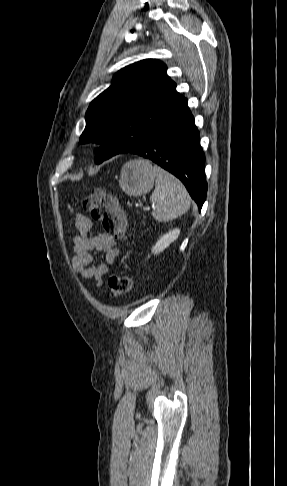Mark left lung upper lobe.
<instances>
[{"mask_svg":"<svg viewBox=\"0 0 287 486\" xmlns=\"http://www.w3.org/2000/svg\"><path fill=\"white\" fill-rule=\"evenodd\" d=\"M183 99L164 63L145 59L118 71L112 84L90 104L80 143L97 142L95 160L138 147Z\"/></svg>","mask_w":287,"mask_h":486,"instance_id":"5c2ea615","label":"left lung upper lobe"}]
</instances>
